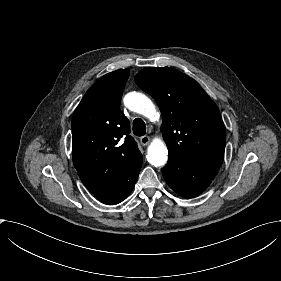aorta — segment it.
<instances>
[{
  "label": "aorta",
  "mask_w": 281,
  "mask_h": 281,
  "mask_svg": "<svg viewBox=\"0 0 281 281\" xmlns=\"http://www.w3.org/2000/svg\"><path fill=\"white\" fill-rule=\"evenodd\" d=\"M124 105L131 111L153 119L157 110L153 102L143 93L130 92L125 95ZM147 160L154 167H161L167 163L168 150L164 141L160 138L152 140L147 149Z\"/></svg>",
  "instance_id": "obj_1"
}]
</instances>
